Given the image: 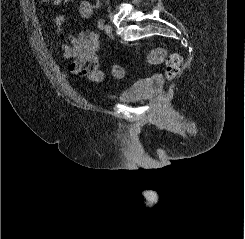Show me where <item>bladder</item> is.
Masks as SVG:
<instances>
[{"instance_id":"1","label":"bladder","mask_w":245,"mask_h":239,"mask_svg":"<svg viewBox=\"0 0 245 239\" xmlns=\"http://www.w3.org/2000/svg\"><path fill=\"white\" fill-rule=\"evenodd\" d=\"M155 87L154 79H142L133 82L131 85L125 87L117 96V98L124 102H133L139 98H143L152 93Z\"/></svg>"}]
</instances>
